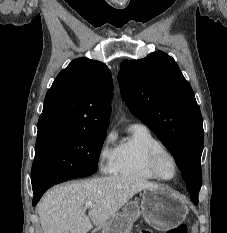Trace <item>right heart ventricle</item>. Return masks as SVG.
<instances>
[{
    "instance_id": "e07e8e85",
    "label": "right heart ventricle",
    "mask_w": 227,
    "mask_h": 233,
    "mask_svg": "<svg viewBox=\"0 0 227 233\" xmlns=\"http://www.w3.org/2000/svg\"><path fill=\"white\" fill-rule=\"evenodd\" d=\"M164 148L145 126L132 125L128 135L120 140L115 148V161L112 173L124 177L154 180L147 160L150 153Z\"/></svg>"
}]
</instances>
